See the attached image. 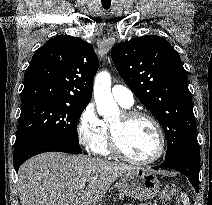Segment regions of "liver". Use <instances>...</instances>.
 I'll return each mask as SVG.
<instances>
[{"mask_svg": "<svg viewBox=\"0 0 212 205\" xmlns=\"http://www.w3.org/2000/svg\"><path fill=\"white\" fill-rule=\"evenodd\" d=\"M134 169L85 155L43 153L20 167L19 198L22 205H96L115 180Z\"/></svg>", "mask_w": 212, "mask_h": 205, "instance_id": "liver-1", "label": "liver"}]
</instances>
